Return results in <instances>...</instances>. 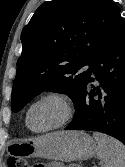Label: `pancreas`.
<instances>
[{
	"instance_id": "1",
	"label": "pancreas",
	"mask_w": 125,
	"mask_h": 167,
	"mask_svg": "<svg viewBox=\"0 0 125 167\" xmlns=\"http://www.w3.org/2000/svg\"><path fill=\"white\" fill-rule=\"evenodd\" d=\"M64 167H79V166H77V165H74V164H71V165L64 166Z\"/></svg>"
}]
</instances>
